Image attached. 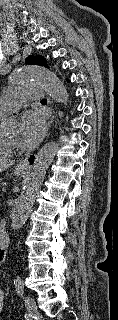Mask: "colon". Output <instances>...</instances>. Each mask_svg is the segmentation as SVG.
<instances>
[{
  "label": "colon",
  "instance_id": "obj_1",
  "mask_svg": "<svg viewBox=\"0 0 118 320\" xmlns=\"http://www.w3.org/2000/svg\"><path fill=\"white\" fill-rule=\"evenodd\" d=\"M3 260V256H2V259H1V257H0V262Z\"/></svg>",
  "mask_w": 118,
  "mask_h": 320
}]
</instances>
